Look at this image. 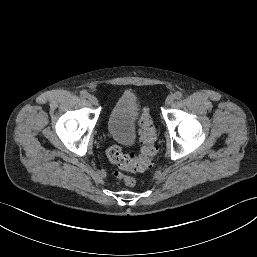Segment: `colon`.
Wrapping results in <instances>:
<instances>
[{
    "label": "colon",
    "mask_w": 257,
    "mask_h": 257,
    "mask_svg": "<svg viewBox=\"0 0 257 257\" xmlns=\"http://www.w3.org/2000/svg\"><path fill=\"white\" fill-rule=\"evenodd\" d=\"M140 138L142 148L140 155L125 153L117 145H110L106 149V155L111 163L120 170L128 172H141L151 165L152 159L156 153L155 131L152 120L147 113H144L141 121ZM115 176L122 180L126 186H134L136 180L133 177L126 176L120 171L115 172Z\"/></svg>",
    "instance_id": "1"
}]
</instances>
